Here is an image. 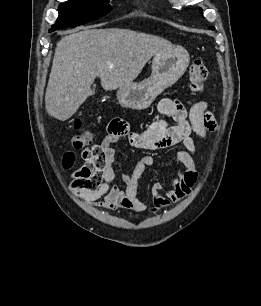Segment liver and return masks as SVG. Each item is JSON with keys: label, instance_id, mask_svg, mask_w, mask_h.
<instances>
[{"label": "liver", "instance_id": "1", "mask_svg": "<svg viewBox=\"0 0 261 306\" xmlns=\"http://www.w3.org/2000/svg\"><path fill=\"white\" fill-rule=\"evenodd\" d=\"M171 42L129 29H88L64 36L55 49L45 94L47 113L59 120L71 118L95 93L100 78L104 90L133 82L145 64Z\"/></svg>", "mask_w": 261, "mask_h": 306}]
</instances>
